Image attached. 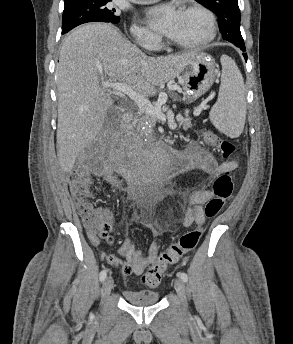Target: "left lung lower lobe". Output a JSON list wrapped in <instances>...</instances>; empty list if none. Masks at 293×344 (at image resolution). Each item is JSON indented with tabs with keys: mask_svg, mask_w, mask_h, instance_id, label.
I'll return each instance as SVG.
<instances>
[{
	"mask_svg": "<svg viewBox=\"0 0 293 344\" xmlns=\"http://www.w3.org/2000/svg\"><path fill=\"white\" fill-rule=\"evenodd\" d=\"M238 47H240V49L243 50V51L246 50V49H245V45H240V46H238ZM243 56H244L245 60H247V54L243 53Z\"/></svg>",
	"mask_w": 293,
	"mask_h": 344,
	"instance_id": "1",
	"label": "left lung lower lobe"
}]
</instances>
